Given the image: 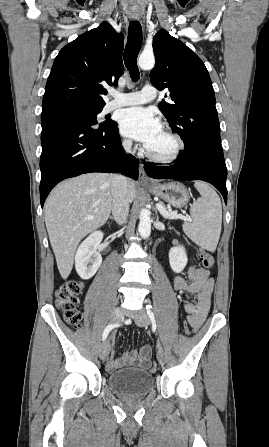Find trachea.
<instances>
[{
  "label": "trachea",
  "mask_w": 269,
  "mask_h": 447,
  "mask_svg": "<svg viewBox=\"0 0 269 447\" xmlns=\"http://www.w3.org/2000/svg\"><path fill=\"white\" fill-rule=\"evenodd\" d=\"M142 29L139 22H130L128 28V41L124 51V63L130 73L132 81L137 82L139 71L137 56L142 46Z\"/></svg>",
  "instance_id": "trachea-1"
}]
</instances>
